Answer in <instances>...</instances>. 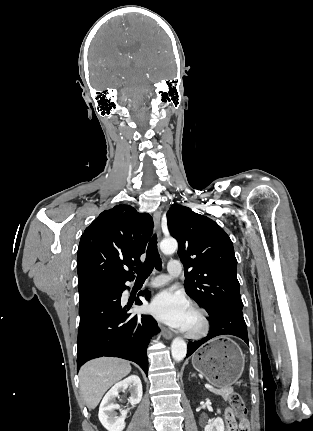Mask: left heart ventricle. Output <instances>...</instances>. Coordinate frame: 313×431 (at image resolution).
I'll list each match as a JSON object with an SVG mask.
<instances>
[{
    "mask_svg": "<svg viewBox=\"0 0 313 431\" xmlns=\"http://www.w3.org/2000/svg\"><path fill=\"white\" fill-rule=\"evenodd\" d=\"M198 324H199V320L195 315V313L191 310L188 329H195L198 326Z\"/></svg>",
    "mask_w": 313,
    "mask_h": 431,
    "instance_id": "1",
    "label": "left heart ventricle"
}]
</instances>
